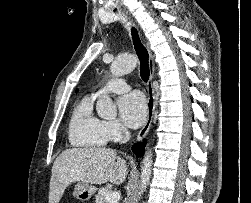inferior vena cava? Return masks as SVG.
I'll return each instance as SVG.
<instances>
[{
	"label": "inferior vena cava",
	"instance_id": "inferior-vena-cava-1",
	"mask_svg": "<svg viewBox=\"0 0 251 203\" xmlns=\"http://www.w3.org/2000/svg\"><path fill=\"white\" fill-rule=\"evenodd\" d=\"M123 133H124V140L122 141V143H125L130 139V133L126 128H123Z\"/></svg>",
	"mask_w": 251,
	"mask_h": 203
}]
</instances>
